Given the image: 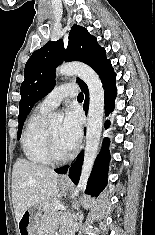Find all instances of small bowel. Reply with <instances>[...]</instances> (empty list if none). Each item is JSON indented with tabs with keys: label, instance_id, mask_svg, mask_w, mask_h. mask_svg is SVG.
Instances as JSON below:
<instances>
[{
	"label": "small bowel",
	"instance_id": "c3829d8e",
	"mask_svg": "<svg viewBox=\"0 0 155 235\" xmlns=\"http://www.w3.org/2000/svg\"><path fill=\"white\" fill-rule=\"evenodd\" d=\"M40 235H49V232H48V230H45V231L41 232Z\"/></svg>",
	"mask_w": 155,
	"mask_h": 235
}]
</instances>
